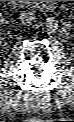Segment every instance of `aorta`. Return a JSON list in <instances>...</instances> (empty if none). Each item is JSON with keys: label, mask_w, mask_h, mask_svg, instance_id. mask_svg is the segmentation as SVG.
Returning a JSON list of instances; mask_svg holds the SVG:
<instances>
[{"label": "aorta", "mask_w": 74, "mask_h": 122, "mask_svg": "<svg viewBox=\"0 0 74 122\" xmlns=\"http://www.w3.org/2000/svg\"><path fill=\"white\" fill-rule=\"evenodd\" d=\"M45 27L49 33H54L58 28V21L53 17H49L46 19Z\"/></svg>", "instance_id": "aorta-1"}]
</instances>
